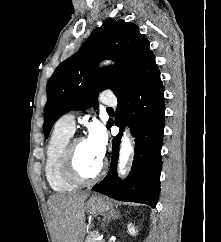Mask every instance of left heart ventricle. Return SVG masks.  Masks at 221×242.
Masks as SVG:
<instances>
[{"label": "left heart ventricle", "instance_id": "obj_1", "mask_svg": "<svg viewBox=\"0 0 221 242\" xmlns=\"http://www.w3.org/2000/svg\"><path fill=\"white\" fill-rule=\"evenodd\" d=\"M102 159L98 158L88 147L85 140L76 144V164L81 173L92 175L98 169Z\"/></svg>", "mask_w": 221, "mask_h": 242}]
</instances>
